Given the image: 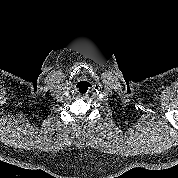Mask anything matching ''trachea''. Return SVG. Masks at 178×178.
<instances>
[{
    "label": "trachea",
    "instance_id": "3493384b",
    "mask_svg": "<svg viewBox=\"0 0 178 178\" xmlns=\"http://www.w3.org/2000/svg\"><path fill=\"white\" fill-rule=\"evenodd\" d=\"M89 82H87V81H80L77 85H76V87H78L81 91L82 90H86L88 87H89Z\"/></svg>",
    "mask_w": 178,
    "mask_h": 178
}]
</instances>
